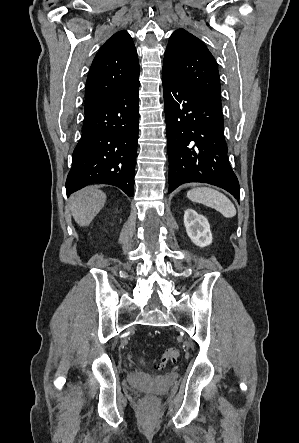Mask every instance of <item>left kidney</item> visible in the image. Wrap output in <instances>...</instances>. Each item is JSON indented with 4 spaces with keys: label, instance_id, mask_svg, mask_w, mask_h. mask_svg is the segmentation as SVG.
<instances>
[{
    "label": "left kidney",
    "instance_id": "obj_1",
    "mask_svg": "<svg viewBox=\"0 0 299 443\" xmlns=\"http://www.w3.org/2000/svg\"><path fill=\"white\" fill-rule=\"evenodd\" d=\"M184 226L191 241L201 248L212 243V233L206 217L198 214L193 209L184 213Z\"/></svg>",
    "mask_w": 299,
    "mask_h": 443
}]
</instances>
